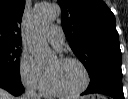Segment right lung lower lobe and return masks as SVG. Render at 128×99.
<instances>
[{"mask_svg": "<svg viewBox=\"0 0 128 99\" xmlns=\"http://www.w3.org/2000/svg\"><path fill=\"white\" fill-rule=\"evenodd\" d=\"M0 88H3L11 94L18 96L24 91L21 82H15L9 78L0 76Z\"/></svg>", "mask_w": 128, "mask_h": 99, "instance_id": "right-lung-lower-lobe-1", "label": "right lung lower lobe"}]
</instances>
